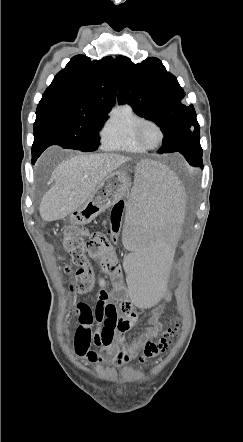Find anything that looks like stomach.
<instances>
[{
    "label": "stomach",
    "instance_id": "obj_1",
    "mask_svg": "<svg viewBox=\"0 0 243 442\" xmlns=\"http://www.w3.org/2000/svg\"><path fill=\"white\" fill-rule=\"evenodd\" d=\"M130 185L129 177L125 172L111 173L100 183L87 201L69 215L70 222L77 225L91 222L122 199L129 192Z\"/></svg>",
    "mask_w": 243,
    "mask_h": 442
}]
</instances>
